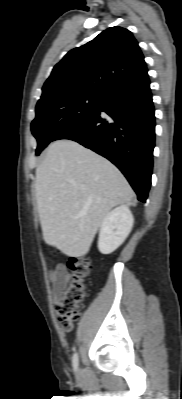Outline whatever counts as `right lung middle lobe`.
<instances>
[{"instance_id":"right-lung-middle-lobe-1","label":"right lung middle lobe","mask_w":182,"mask_h":399,"mask_svg":"<svg viewBox=\"0 0 182 399\" xmlns=\"http://www.w3.org/2000/svg\"><path fill=\"white\" fill-rule=\"evenodd\" d=\"M103 97L76 94L38 102L36 118L31 123L32 134L38 142L36 155L53 141L56 134L96 113L102 105Z\"/></svg>"}]
</instances>
